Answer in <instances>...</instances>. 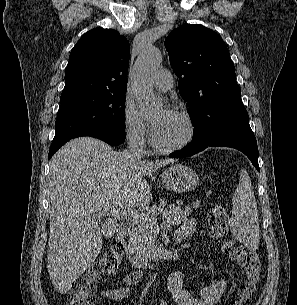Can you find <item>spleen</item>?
Here are the masks:
<instances>
[{
  "mask_svg": "<svg viewBox=\"0 0 297 305\" xmlns=\"http://www.w3.org/2000/svg\"><path fill=\"white\" fill-rule=\"evenodd\" d=\"M232 234L248 248L259 245V218L251 180L246 169H241L239 184L232 198V216L229 219Z\"/></svg>",
  "mask_w": 297,
  "mask_h": 305,
  "instance_id": "spleen-1",
  "label": "spleen"
}]
</instances>
